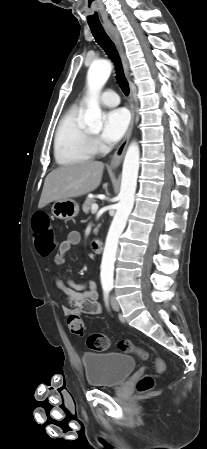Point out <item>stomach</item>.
<instances>
[{"instance_id":"stomach-1","label":"stomach","mask_w":207,"mask_h":449,"mask_svg":"<svg viewBox=\"0 0 207 449\" xmlns=\"http://www.w3.org/2000/svg\"><path fill=\"white\" fill-rule=\"evenodd\" d=\"M78 213L79 205L72 199L57 200L52 205V214L58 219L70 220L76 217Z\"/></svg>"}]
</instances>
